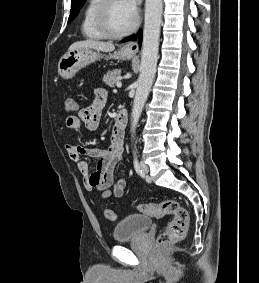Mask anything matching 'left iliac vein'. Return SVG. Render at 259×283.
Returning <instances> with one entry per match:
<instances>
[{"label":"left iliac vein","mask_w":259,"mask_h":283,"mask_svg":"<svg viewBox=\"0 0 259 283\" xmlns=\"http://www.w3.org/2000/svg\"><path fill=\"white\" fill-rule=\"evenodd\" d=\"M140 166H141V170H142V172H143V174H148V172H149V167H148V165L146 164V163H144V162H141L140 163Z\"/></svg>","instance_id":"obj_1"}]
</instances>
